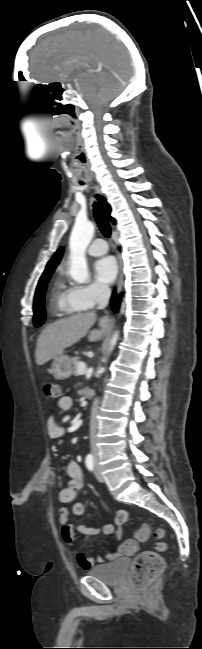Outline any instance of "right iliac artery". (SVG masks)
Listing matches in <instances>:
<instances>
[{
  "instance_id": "1",
  "label": "right iliac artery",
  "mask_w": 202,
  "mask_h": 649,
  "mask_svg": "<svg viewBox=\"0 0 202 649\" xmlns=\"http://www.w3.org/2000/svg\"><path fill=\"white\" fill-rule=\"evenodd\" d=\"M86 467L88 470L93 471L94 469V458L92 455H88L85 459Z\"/></svg>"
}]
</instances>
